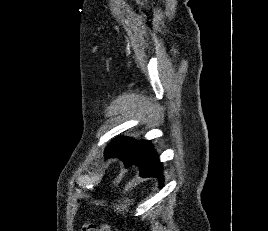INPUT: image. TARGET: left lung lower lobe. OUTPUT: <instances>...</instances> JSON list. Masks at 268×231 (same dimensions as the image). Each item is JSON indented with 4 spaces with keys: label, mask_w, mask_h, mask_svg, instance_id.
Segmentation results:
<instances>
[{
    "label": "left lung lower lobe",
    "mask_w": 268,
    "mask_h": 231,
    "mask_svg": "<svg viewBox=\"0 0 268 231\" xmlns=\"http://www.w3.org/2000/svg\"><path fill=\"white\" fill-rule=\"evenodd\" d=\"M105 155L107 158H120L124 161L126 168L137 165L140 169V176L158 177L161 179L162 184V166L158 158L155 157L154 149L150 142L141 149L129 147L128 149L115 152L107 148Z\"/></svg>",
    "instance_id": "0a47b994"
}]
</instances>
